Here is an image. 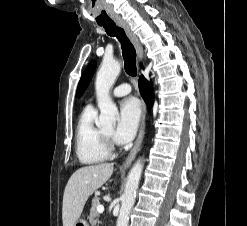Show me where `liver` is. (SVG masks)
<instances>
[{"instance_id": "obj_1", "label": "liver", "mask_w": 247, "mask_h": 226, "mask_svg": "<svg viewBox=\"0 0 247 226\" xmlns=\"http://www.w3.org/2000/svg\"><path fill=\"white\" fill-rule=\"evenodd\" d=\"M113 164L103 163L81 167L70 177L63 196V226H74L89 196L112 175Z\"/></svg>"}]
</instances>
